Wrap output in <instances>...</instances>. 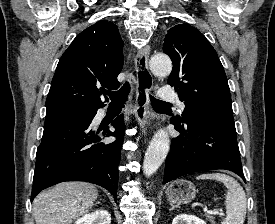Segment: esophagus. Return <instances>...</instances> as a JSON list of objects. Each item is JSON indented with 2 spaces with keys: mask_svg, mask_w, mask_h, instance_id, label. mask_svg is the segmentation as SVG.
<instances>
[{
  "mask_svg": "<svg viewBox=\"0 0 275 224\" xmlns=\"http://www.w3.org/2000/svg\"><path fill=\"white\" fill-rule=\"evenodd\" d=\"M150 46L146 45L141 48L135 58V69L137 76V108L135 111L136 120L145 133L150 120H154V115L149 109V93L153 86V77L148 69V58Z\"/></svg>",
  "mask_w": 275,
  "mask_h": 224,
  "instance_id": "1",
  "label": "esophagus"
}]
</instances>
